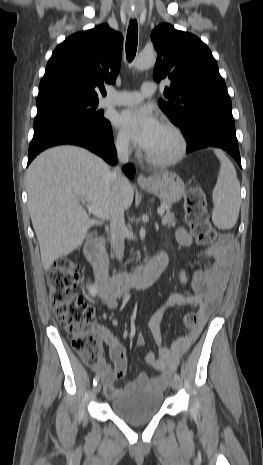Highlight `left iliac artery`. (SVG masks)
Wrapping results in <instances>:
<instances>
[{
	"label": "left iliac artery",
	"instance_id": "obj_1",
	"mask_svg": "<svg viewBox=\"0 0 263 465\" xmlns=\"http://www.w3.org/2000/svg\"><path fill=\"white\" fill-rule=\"evenodd\" d=\"M174 378H175L177 381L180 380V376H179L177 373L174 375Z\"/></svg>",
	"mask_w": 263,
	"mask_h": 465
}]
</instances>
